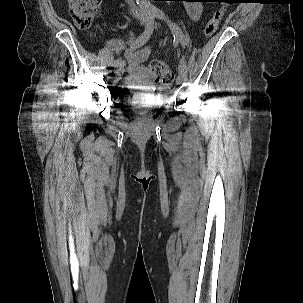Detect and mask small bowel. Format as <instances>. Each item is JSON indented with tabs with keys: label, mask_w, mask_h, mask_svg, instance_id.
Returning a JSON list of instances; mask_svg holds the SVG:
<instances>
[{
	"label": "small bowel",
	"mask_w": 303,
	"mask_h": 303,
	"mask_svg": "<svg viewBox=\"0 0 303 303\" xmlns=\"http://www.w3.org/2000/svg\"><path fill=\"white\" fill-rule=\"evenodd\" d=\"M186 1L199 2V0ZM185 7L192 20L200 19L203 12V7L200 3L186 4ZM107 46L113 50L118 57L121 52L124 53L127 61V71L129 73L128 82L130 84L147 89L153 87L151 72L143 65V63L149 58V48L134 51L128 47L122 39H111L108 41Z\"/></svg>",
	"instance_id": "small-bowel-1"
}]
</instances>
